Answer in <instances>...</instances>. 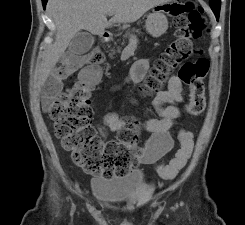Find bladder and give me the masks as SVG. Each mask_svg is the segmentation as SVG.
<instances>
[{"instance_id":"1","label":"bladder","mask_w":245,"mask_h":225,"mask_svg":"<svg viewBox=\"0 0 245 225\" xmlns=\"http://www.w3.org/2000/svg\"><path fill=\"white\" fill-rule=\"evenodd\" d=\"M94 198L102 203L128 204L148 189L146 174L134 169L116 177H96L92 180Z\"/></svg>"}]
</instances>
